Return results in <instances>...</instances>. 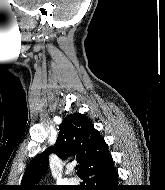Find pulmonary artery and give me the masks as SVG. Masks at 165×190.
<instances>
[{
	"label": "pulmonary artery",
	"instance_id": "e3ab8cb5",
	"mask_svg": "<svg viewBox=\"0 0 165 190\" xmlns=\"http://www.w3.org/2000/svg\"><path fill=\"white\" fill-rule=\"evenodd\" d=\"M68 183L74 184V183H76V179H75V178H70V179L68 180Z\"/></svg>",
	"mask_w": 165,
	"mask_h": 190
}]
</instances>
